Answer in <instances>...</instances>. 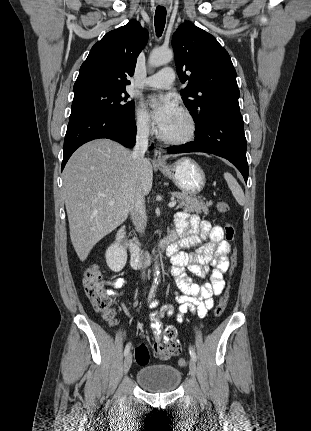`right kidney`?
<instances>
[{
    "label": "right kidney",
    "mask_w": 311,
    "mask_h": 431,
    "mask_svg": "<svg viewBox=\"0 0 311 431\" xmlns=\"http://www.w3.org/2000/svg\"><path fill=\"white\" fill-rule=\"evenodd\" d=\"M106 263L112 271H121L127 261V251L119 243H112L105 253Z\"/></svg>",
    "instance_id": "ca27d5eb"
}]
</instances>
